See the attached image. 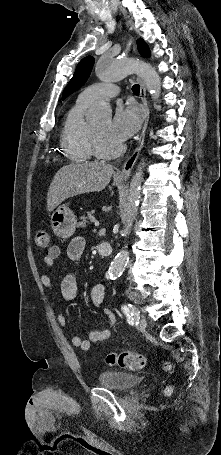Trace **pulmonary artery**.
Here are the masks:
<instances>
[{
  "label": "pulmonary artery",
  "mask_w": 221,
  "mask_h": 455,
  "mask_svg": "<svg viewBox=\"0 0 221 455\" xmlns=\"http://www.w3.org/2000/svg\"><path fill=\"white\" fill-rule=\"evenodd\" d=\"M120 89L116 85L108 82L96 83L86 87L81 93L80 98L87 103H92L101 98H112L118 95Z\"/></svg>",
  "instance_id": "obj_1"
}]
</instances>
